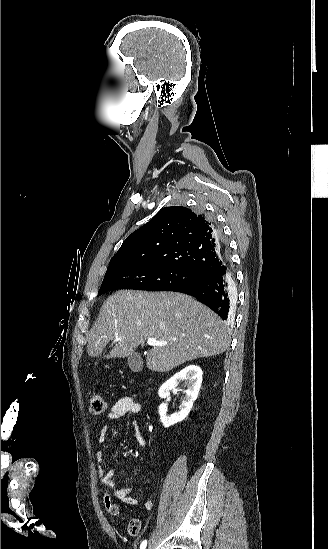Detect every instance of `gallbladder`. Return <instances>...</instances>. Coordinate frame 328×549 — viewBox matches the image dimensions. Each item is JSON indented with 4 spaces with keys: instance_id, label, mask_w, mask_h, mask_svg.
<instances>
[{
    "instance_id": "bac80fb5",
    "label": "gallbladder",
    "mask_w": 328,
    "mask_h": 549,
    "mask_svg": "<svg viewBox=\"0 0 328 549\" xmlns=\"http://www.w3.org/2000/svg\"><path fill=\"white\" fill-rule=\"evenodd\" d=\"M127 363L129 365V369L134 371V373H140L143 369V361L139 353H133V355H130L127 359Z\"/></svg>"
}]
</instances>
